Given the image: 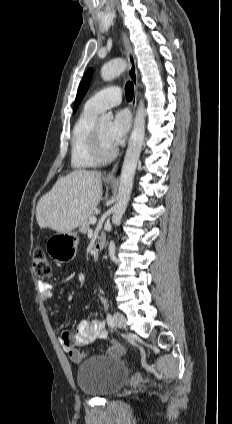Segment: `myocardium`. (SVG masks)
Here are the masks:
<instances>
[{"mask_svg":"<svg viewBox=\"0 0 232 424\" xmlns=\"http://www.w3.org/2000/svg\"><path fill=\"white\" fill-rule=\"evenodd\" d=\"M91 154L93 158L100 164L112 161L117 155L116 148H114L110 153H105L102 146L99 124H95L93 128L91 138Z\"/></svg>","mask_w":232,"mask_h":424,"instance_id":"myocardium-1","label":"myocardium"}]
</instances>
